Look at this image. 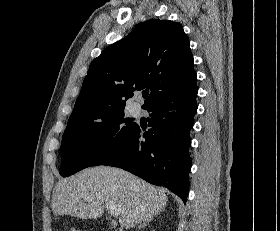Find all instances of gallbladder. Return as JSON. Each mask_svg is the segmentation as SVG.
Listing matches in <instances>:
<instances>
[{
    "label": "gallbladder",
    "instance_id": "1",
    "mask_svg": "<svg viewBox=\"0 0 280 231\" xmlns=\"http://www.w3.org/2000/svg\"><path fill=\"white\" fill-rule=\"evenodd\" d=\"M110 227H115V225H117L116 221H111V223H109Z\"/></svg>",
    "mask_w": 280,
    "mask_h": 231
}]
</instances>
